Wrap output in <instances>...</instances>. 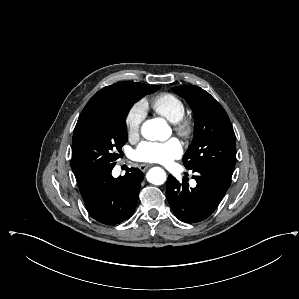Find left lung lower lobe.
<instances>
[{
  "label": "left lung lower lobe",
  "instance_id": "left-lung-lower-lobe-1",
  "mask_svg": "<svg viewBox=\"0 0 299 299\" xmlns=\"http://www.w3.org/2000/svg\"><path fill=\"white\" fill-rule=\"evenodd\" d=\"M197 185L179 182L169 176L166 196L176 217L186 223H197L207 219L217 208L231 184V176L212 168L193 170Z\"/></svg>",
  "mask_w": 299,
  "mask_h": 299
}]
</instances>
